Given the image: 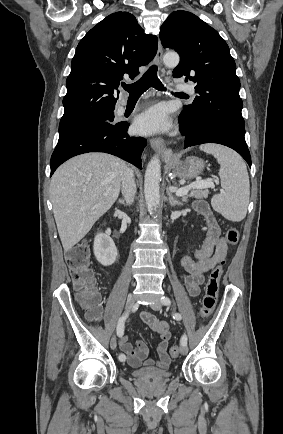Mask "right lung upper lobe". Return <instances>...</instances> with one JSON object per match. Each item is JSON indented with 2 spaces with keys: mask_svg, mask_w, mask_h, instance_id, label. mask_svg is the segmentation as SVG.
<instances>
[{
  "mask_svg": "<svg viewBox=\"0 0 283 434\" xmlns=\"http://www.w3.org/2000/svg\"><path fill=\"white\" fill-rule=\"evenodd\" d=\"M158 39L145 34L136 18L116 12L93 27L79 42L66 80L61 119L114 110L123 75L134 79L140 66L156 55Z\"/></svg>",
  "mask_w": 283,
  "mask_h": 434,
  "instance_id": "1",
  "label": "right lung upper lobe"
}]
</instances>
